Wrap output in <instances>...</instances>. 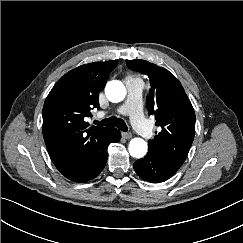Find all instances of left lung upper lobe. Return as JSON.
I'll use <instances>...</instances> for the list:
<instances>
[{"instance_id": "5c2ea615", "label": "left lung upper lobe", "mask_w": 243, "mask_h": 243, "mask_svg": "<svg viewBox=\"0 0 243 243\" xmlns=\"http://www.w3.org/2000/svg\"><path fill=\"white\" fill-rule=\"evenodd\" d=\"M130 69L146 74L151 90L146 106L161 129L148 141L149 151L181 166L195 135V112L181 83L165 68L145 60H126Z\"/></svg>"}]
</instances>
